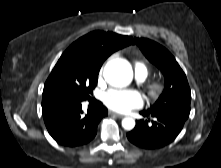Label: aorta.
<instances>
[{
  "label": "aorta",
  "mask_w": 221,
  "mask_h": 168,
  "mask_svg": "<svg viewBox=\"0 0 221 168\" xmlns=\"http://www.w3.org/2000/svg\"><path fill=\"white\" fill-rule=\"evenodd\" d=\"M103 75L111 86L125 87L129 85L133 79V70L127 60L116 58L107 62ZM122 127L125 130H132L135 127V120L131 117H125L122 120Z\"/></svg>",
  "instance_id": "1"
}]
</instances>
